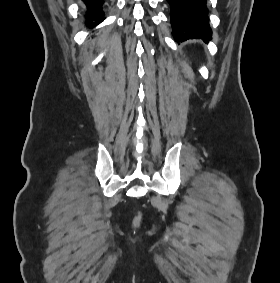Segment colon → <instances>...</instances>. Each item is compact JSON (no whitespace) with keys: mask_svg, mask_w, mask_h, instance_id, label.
I'll list each match as a JSON object with an SVG mask.
<instances>
[{"mask_svg":"<svg viewBox=\"0 0 280 283\" xmlns=\"http://www.w3.org/2000/svg\"><path fill=\"white\" fill-rule=\"evenodd\" d=\"M140 221H141V217H140V216H136V217L134 218V224H135V225H138V224L140 223Z\"/></svg>","mask_w":280,"mask_h":283,"instance_id":"obj_1","label":"colon"}]
</instances>
